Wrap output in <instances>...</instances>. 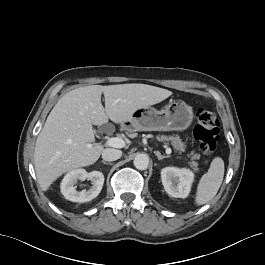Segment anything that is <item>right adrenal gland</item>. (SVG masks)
Instances as JSON below:
<instances>
[{"label": "right adrenal gland", "instance_id": "1", "mask_svg": "<svg viewBox=\"0 0 265 265\" xmlns=\"http://www.w3.org/2000/svg\"><path fill=\"white\" fill-rule=\"evenodd\" d=\"M103 164H106V165H108V164H111V163H108V162H105V161H101Z\"/></svg>", "mask_w": 265, "mask_h": 265}]
</instances>
